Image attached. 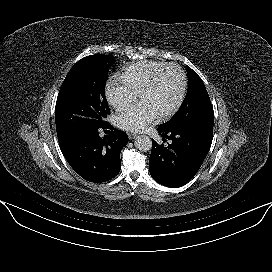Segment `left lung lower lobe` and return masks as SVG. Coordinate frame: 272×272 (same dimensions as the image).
<instances>
[{
	"label": "left lung lower lobe",
	"instance_id": "obj_1",
	"mask_svg": "<svg viewBox=\"0 0 272 272\" xmlns=\"http://www.w3.org/2000/svg\"><path fill=\"white\" fill-rule=\"evenodd\" d=\"M167 147L152 140L149 168L159 184L177 188L187 184L198 172L212 143L213 131L198 128L166 130L158 127Z\"/></svg>",
	"mask_w": 272,
	"mask_h": 272
}]
</instances>
